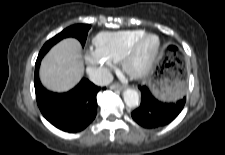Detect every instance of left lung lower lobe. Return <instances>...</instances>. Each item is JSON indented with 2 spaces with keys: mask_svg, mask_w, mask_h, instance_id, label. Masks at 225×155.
Segmentation results:
<instances>
[{
  "mask_svg": "<svg viewBox=\"0 0 225 155\" xmlns=\"http://www.w3.org/2000/svg\"><path fill=\"white\" fill-rule=\"evenodd\" d=\"M141 105L132 112L133 119L144 128L165 126L182 111L186 98L183 95L177 102L164 103L157 100L146 86H139Z\"/></svg>",
  "mask_w": 225,
  "mask_h": 155,
  "instance_id": "1",
  "label": "left lung lower lobe"
}]
</instances>
